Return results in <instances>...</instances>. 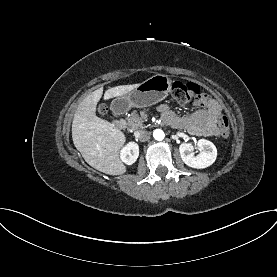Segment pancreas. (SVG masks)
Returning <instances> with one entry per match:
<instances>
[{"label": "pancreas", "instance_id": "1", "mask_svg": "<svg viewBox=\"0 0 277 277\" xmlns=\"http://www.w3.org/2000/svg\"><path fill=\"white\" fill-rule=\"evenodd\" d=\"M127 125L132 129V130H137L140 128H144L145 126L143 125V119L140 117L137 112H133L130 117L127 118Z\"/></svg>", "mask_w": 277, "mask_h": 277}]
</instances>
